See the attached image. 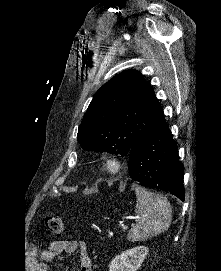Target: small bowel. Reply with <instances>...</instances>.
Listing matches in <instances>:
<instances>
[{
	"instance_id": "obj_1",
	"label": "small bowel",
	"mask_w": 221,
	"mask_h": 271,
	"mask_svg": "<svg viewBox=\"0 0 221 271\" xmlns=\"http://www.w3.org/2000/svg\"><path fill=\"white\" fill-rule=\"evenodd\" d=\"M78 252L79 271H92V260L85 241L82 240H58L53 241L49 247L42 251L41 262L36 266L37 271H48L47 262L54 258H62V254Z\"/></svg>"
}]
</instances>
